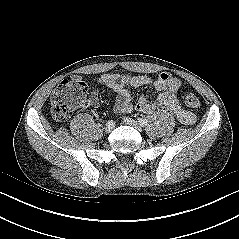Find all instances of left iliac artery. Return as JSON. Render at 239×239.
Returning a JSON list of instances; mask_svg holds the SVG:
<instances>
[{
  "instance_id": "1",
  "label": "left iliac artery",
  "mask_w": 239,
  "mask_h": 239,
  "mask_svg": "<svg viewBox=\"0 0 239 239\" xmlns=\"http://www.w3.org/2000/svg\"><path fill=\"white\" fill-rule=\"evenodd\" d=\"M138 123H139L142 127H144V126H146V125L148 124V121H147L146 119H144V118H138Z\"/></svg>"
}]
</instances>
